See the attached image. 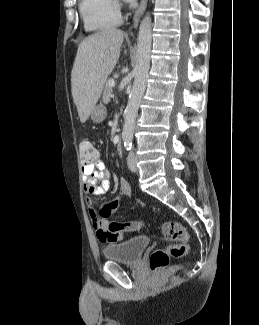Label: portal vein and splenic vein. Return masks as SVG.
Returning <instances> with one entry per match:
<instances>
[{
  "mask_svg": "<svg viewBox=\"0 0 259 325\" xmlns=\"http://www.w3.org/2000/svg\"><path fill=\"white\" fill-rule=\"evenodd\" d=\"M109 84H110V86H111V87H114V86H115V81H114V80H112V81H110V83H109Z\"/></svg>",
  "mask_w": 259,
  "mask_h": 325,
  "instance_id": "18ae733b",
  "label": "portal vein and splenic vein"
}]
</instances>
